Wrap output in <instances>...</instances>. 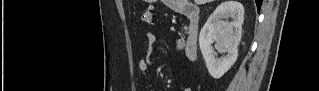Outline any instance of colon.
Segmentation results:
<instances>
[{
	"label": "colon",
	"instance_id": "5ec220e1",
	"mask_svg": "<svg viewBox=\"0 0 319 91\" xmlns=\"http://www.w3.org/2000/svg\"><path fill=\"white\" fill-rule=\"evenodd\" d=\"M141 20L147 25H154V8L147 7L141 14Z\"/></svg>",
	"mask_w": 319,
	"mask_h": 91
}]
</instances>
